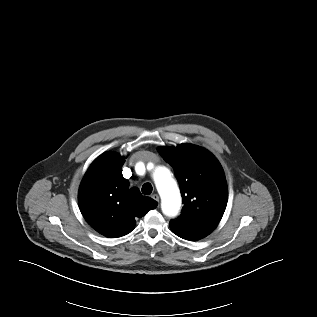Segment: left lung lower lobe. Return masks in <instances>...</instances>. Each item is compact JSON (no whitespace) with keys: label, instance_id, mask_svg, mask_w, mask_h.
Instances as JSON below:
<instances>
[{"label":"left lung lower lobe","instance_id":"left-lung-lower-lobe-1","mask_svg":"<svg viewBox=\"0 0 317 317\" xmlns=\"http://www.w3.org/2000/svg\"><path fill=\"white\" fill-rule=\"evenodd\" d=\"M178 229H172L177 236L191 241H197L209 235L215 227L207 225L179 224Z\"/></svg>","mask_w":317,"mask_h":317}]
</instances>
